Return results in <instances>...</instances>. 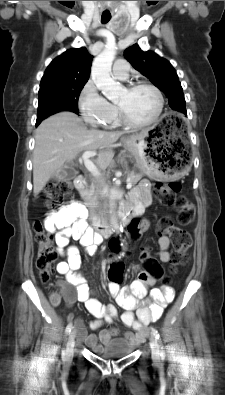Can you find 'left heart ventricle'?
I'll return each instance as SVG.
<instances>
[{
  "mask_svg": "<svg viewBox=\"0 0 225 395\" xmlns=\"http://www.w3.org/2000/svg\"><path fill=\"white\" fill-rule=\"evenodd\" d=\"M129 119L135 122L149 120L156 112L157 99L154 92L147 88H139L134 91L123 89L116 99Z\"/></svg>",
  "mask_w": 225,
  "mask_h": 395,
  "instance_id": "left-heart-ventricle-1",
  "label": "left heart ventricle"
}]
</instances>
